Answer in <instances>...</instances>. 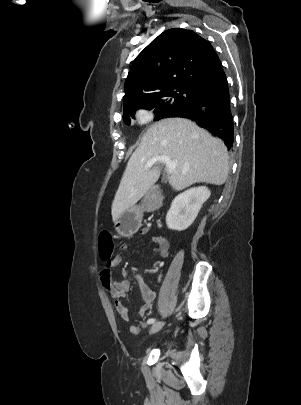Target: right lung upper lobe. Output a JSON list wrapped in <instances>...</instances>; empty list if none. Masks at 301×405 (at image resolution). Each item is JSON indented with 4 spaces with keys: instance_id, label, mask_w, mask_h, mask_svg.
<instances>
[{
    "instance_id": "right-lung-upper-lobe-1",
    "label": "right lung upper lobe",
    "mask_w": 301,
    "mask_h": 405,
    "mask_svg": "<svg viewBox=\"0 0 301 405\" xmlns=\"http://www.w3.org/2000/svg\"><path fill=\"white\" fill-rule=\"evenodd\" d=\"M225 77L207 40L192 30L169 29L135 59L125 83L124 112L149 96L178 88L202 92Z\"/></svg>"
}]
</instances>
